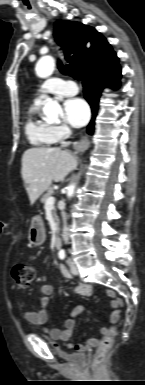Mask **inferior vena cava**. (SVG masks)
Instances as JSON below:
<instances>
[{
  "label": "inferior vena cava",
  "instance_id": "inferior-vena-cava-1",
  "mask_svg": "<svg viewBox=\"0 0 145 385\" xmlns=\"http://www.w3.org/2000/svg\"><path fill=\"white\" fill-rule=\"evenodd\" d=\"M62 219H63V230H62V238L64 240L65 243H68V240H69V233H68V226H67V222H66V213L64 211V208L62 209Z\"/></svg>",
  "mask_w": 145,
  "mask_h": 385
}]
</instances>
